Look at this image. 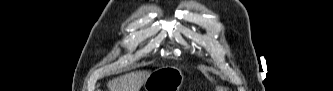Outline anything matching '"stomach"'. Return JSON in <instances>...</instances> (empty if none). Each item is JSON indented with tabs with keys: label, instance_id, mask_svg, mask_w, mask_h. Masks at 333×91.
<instances>
[{
	"label": "stomach",
	"instance_id": "1",
	"mask_svg": "<svg viewBox=\"0 0 333 91\" xmlns=\"http://www.w3.org/2000/svg\"><path fill=\"white\" fill-rule=\"evenodd\" d=\"M183 82L184 75L179 68L160 67L148 75L143 89L144 91H180Z\"/></svg>",
	"mask_w": 333,
	"mask_h": 91
}]
</instances>
